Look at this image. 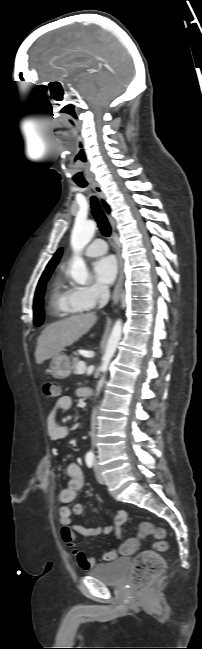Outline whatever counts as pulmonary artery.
Returning <instances> with one entry per match:
<instances>
[{
	"label": "pulmonary artery",
	"instance_id": "1",
	"mask_svg": "<svg viewBox=\"0 0 202 649\" xmlns=\"http://www.w3.org/2000/svg\"><path fill=\"white\" fill-rule=\"evenodd\" d=\"M107 245L103 239H96L85 249V255L94 257L107 252Z\"/></svg>",
	"mask_w": 202,
	"mask_h": 649
}]
</instances>
